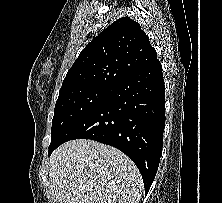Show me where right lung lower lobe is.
Listing matches in <instances>:
<instances>
[{
    "label": "right lung lower lobe",
    "instance_id": "98d812e1",
    "mask_svg": "<svg viewBox=\"0 0 222 203\" xmlns=\"http://www.w3.org/2000/svg\"><path fill=\"white\" fill-rule=\"evenodd\" d=\"M164 110L165 85L157 59L121 80L103 102L70 125L48 153L73 139L113 146L136 164L147 194L162 152Z\"/></svg>",
    "mask_w": 222,
    "mask_h": 203
}]
</instances>
